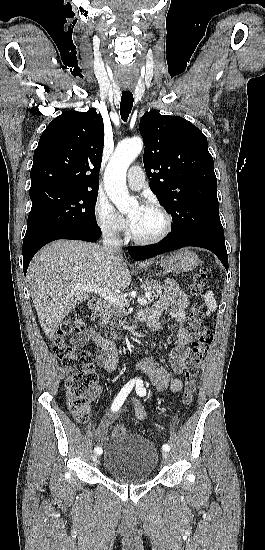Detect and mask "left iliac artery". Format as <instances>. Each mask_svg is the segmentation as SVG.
I'll use <instances>...</instances> for the list:
<instances>
[{
    "label": "left iliac artery",
    "instance_id": "obj_1",
    "mask_svg": "<svg viewBox=\"0 0 265 550\" xmlns=\"http://www.w3.org/2000/svg\"><path fill=\"white\" fill-rule=\"evenodd\" d=\"M136 393H137L139 396H141V397H143V396L146 395V389H145V387H144V385H143V382L140 381V380L136 383ZM162 449H163L164 451H169V450H170V446H169L168 444H164V445L162 446Z\"/></svg>",
    "mask_w": 265,
    "mask_h": 550
}]
</instances>
